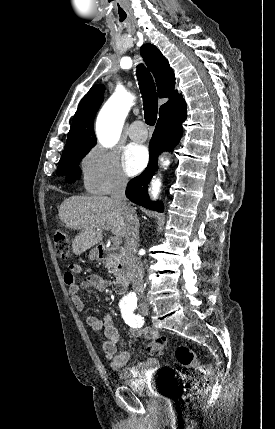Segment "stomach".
I'll list each match as a JSON object with an SVG mask.
<instances>
[{
  "label": "stomach",
  "mask_w": 275,
  "mask_h": 429,
  "mask_svg": "<svg viewBox=\"0 0 275 429\" xmlns=\"http://www.w3.org/2000/svg\"><path fill=\"white\" fill-rule=\"evenodd\" d=\"M98 257H99V254H98V251L96 249H93L92 251H90L89 258L91 260L98 259Z\"/></svg>",
  "instance_id": "1"
}]
</instances>
